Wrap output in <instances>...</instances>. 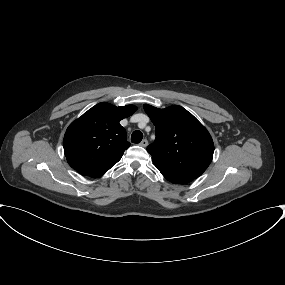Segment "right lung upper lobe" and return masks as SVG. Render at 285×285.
<instances>
[{
    "label": "right lung upper lobe",
    "instance_id": "obj_1",
    "mask_svg": "<svg viewBox=\"0 0 285 285\" xmlns=\"http://www.w3.org/2000/svg\"><path fill=\"white\" fill-rule=\"evenodd\" d=\"M136 110L134 105L116 107L102 102L72 122L63 140L68 164L89 177L106 173L130 146L119 122Z\"/></svg>",
    "mask_w": 285,
    "mask_h": 285
}]
</instances>
